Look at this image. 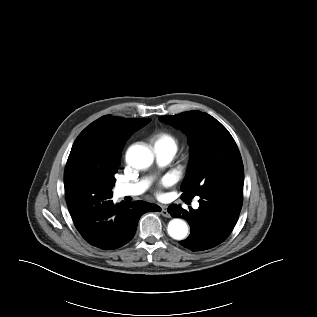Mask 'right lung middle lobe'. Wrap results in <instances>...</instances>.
Wrapping results in <instances>:
<instances>
[{"label": "right lung middle lobe", "mask_w": 317, "mask_h": 317, "mask_svg": "<svg viewBox=\"0 0 317 317\" xmlns=\"http://www.w3.org/2000/svg\"><path fill=\"white\" fill-rule=\"evenodd\" d=\"M147 120L145 124L149 123ZM118 165L110 161H99L91 156H82L66 165L64 173L65 194H78L89 200L111 198Z\"/></svg>", "instance_id": "obj_1"}]
</instances>
